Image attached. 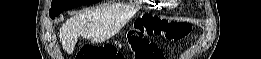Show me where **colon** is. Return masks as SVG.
I'll return each mask as SVG.
<instances>
[{"label": "colon", "instance_id": "1", "mask_svg": "<svg viewBox=\"0 0 261 59\" xmlns=\"http://www.w3.org/2000/svg\"><path fill=\"white\" fill-rule=\"evenodd\" d=\"M191 28L188 24L169 22L157 16L144 17L130 34L135 59H162L163 53L150 41V37H164L168 41L185 38ZM122 55L111 46L84 45L76 59H121Z\"/></svg>", "mask_w": 261, "mask_h": 59}]
</instances>
